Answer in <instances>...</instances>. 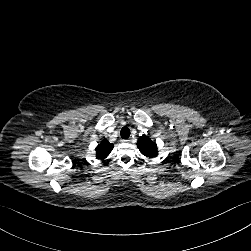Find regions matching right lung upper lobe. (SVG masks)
I'll use <instances>...</instances> for the list:
<instances>
[{"instance_id": "right-lung-upper-lobe-1", "label": "right lung upper lobe", "mask_w": 251, "mask_h": 251, "mask_svg": "<svg viewBox=\"0 0 251 251\" xmlns=\"http://www.w3.org/2000/svg\"><path fill=\"white\" fill-rule=\"evenodd\" d=\"M113 149V144L109 143L107 140H103L97 147H96V158L98 160H105L106 157L110 154Z\"/></svg>"}]
</instances>
